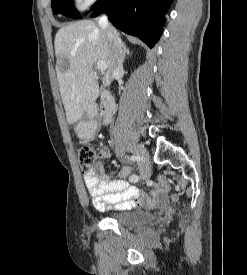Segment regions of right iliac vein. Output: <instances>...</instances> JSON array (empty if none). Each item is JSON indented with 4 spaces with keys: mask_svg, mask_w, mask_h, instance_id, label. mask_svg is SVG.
Masks as SVG:
<instances>
[{
    "mask_svg": "<svg viewBox=\"0 0 247 275\" xmlns=\"http://www.w3.org/2000/svg\"><path fill=\"white\" fill-rule=\"evenodd\" d=\"M132 152L136 154L138 157H140L143 160L148 159V153L142 146H134L132 149ZM140 171H141V177L143 179L147 178L149 175V169L145 162H141L140 164Z\"/></svg>",
    "mask_w": 247,
    "mask_h": 275,
    "instance_id": "1",
    "label": "right iliac vein"
}]
</instances>
